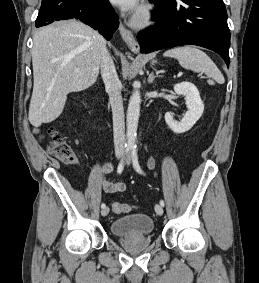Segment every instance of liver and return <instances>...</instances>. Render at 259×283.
I'll return each mask as SVG.
<instances>
[{
  "instance_id": "1",
  "label": "liver",
  "mask_w": 259,
  "mask_h": 283,
  "mask_svg": "<svg viewBox=\"0 0 259 283\" xmlns=\"http://www.w3.org/2000/svg\"><path fill=\"white\" fill-rule=\"evenodd\" d=\"M105 44L97 31L76 20L55 23L34 34V85L28 115L33 126L57 119L70 92L96 82Z\"/></svg>"
}]
</instances>
